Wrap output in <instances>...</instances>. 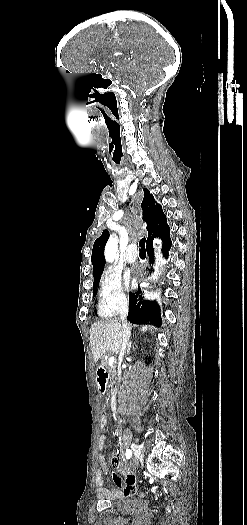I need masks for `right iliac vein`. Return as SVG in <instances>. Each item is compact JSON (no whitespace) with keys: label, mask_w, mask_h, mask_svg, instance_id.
I'll return each mask as SVG.
<instances>
[{"label":"right iliac vein","mask_w":247,"mask_h":525,"mask_svg":"<svg viewBox=\"0 0 247 525\" xmlns=\"http://www.w3.org/2000/svg\"><path fill=\"white\" fill-rule=\"evenodd\" d=\"M132 451H133V462L137 463L138 457L140 456V448L136 443H132L131 445Z\"/></svg>","instance_id":"right-iliac-vein-1"}]
</instances>
